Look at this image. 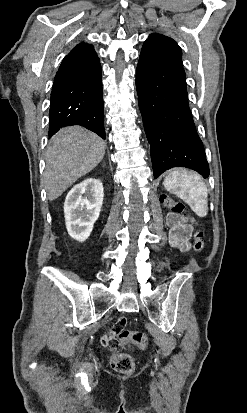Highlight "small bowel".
<instances>
[{
	"label": "small bowel",
	"instance_id": "obj_1",
	"mask_svg": "<svg viewBox=\"0 0 247 413\" xmlns=\"http://www.w3.org/2000/svg\"><path fill=\"white\" fill-rule=\"evenodd\" d=\"M168 225L170 227V244L180 250L181 252H186L191 248L189 238H190V228L186 223H181L173 214L168 217ZM127 322L126 316H120L119 322L113 324V329L115 331H123L125 329V324ZM114 331L108 330L107 334L102 336L101 346L103 349H110L112 355H117L119 353V348L116 346V342L113 340Z\"/></svg>",
	"mask_w": 247,
	"mask_h": 413
}]
</instances>
